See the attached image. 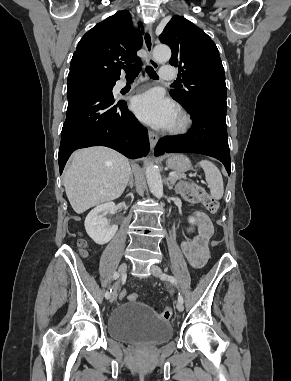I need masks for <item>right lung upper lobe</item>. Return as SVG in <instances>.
Returning a JSON list of instances; mask_svg holds the SVG:
<instances>
[{"label":"right lung upper lobe","instance_id":"1","mask_svg":"<svg viewBox=\"0 0 291 381\" xmlns=\"http://www.w3.org/2000/svg\"><path fill=\"white\" fill-rule=\"evenodd\" d=\"M142 35L143 30L133 28L128 11L116 12L82 37L73 54L68 76L115 83L123 61L128 64L140 62L136 52L142 46Z\"/></svg>","mask_w":291,"mask_h":381}]
</instances>
